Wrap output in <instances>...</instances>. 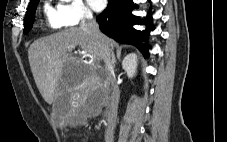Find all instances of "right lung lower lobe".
Listing matches in <instances>:
<instances>
[{
  "instance_id": "obj_1",
  "label": "right lung lower lobe",
  "mask_w": 227,
  "mask_h": 142,
  "mask_svg": "<svg viewBox=\"0 0 227 142\" xmlns=\"http://www.w3.org/2000/svg\"><path fill=\"white\" fill-rule=\"evenodd\" d=\"M108 7L97 17L99 28L103 33L114 40L136 45L147 57L148 47L141 45L146 34L134 29L132 25L141 23V19L135 17L131 12L137 6L132 0H108ZM151 13L144 23L147 30H153L151 24Z\"/></svg>"
}]
</instances>
